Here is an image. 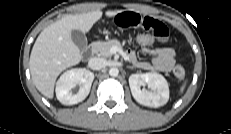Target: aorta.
<instances>
[{"label":"aorta","instance_id":"1","mask_svg":"<svg viewBox=\"0 0 231 134\" xmlns=\"http://www.w3.org/2000/svg\"><path fill=\"white\" fill-rule=\"evenodd\" d=\"M118 74H119L118 68H116V67L110 68V70H109V75L110 76L116 77V76H118Z\"/></svg>","mask_w":231,"mask_h":134}]
</instances>
